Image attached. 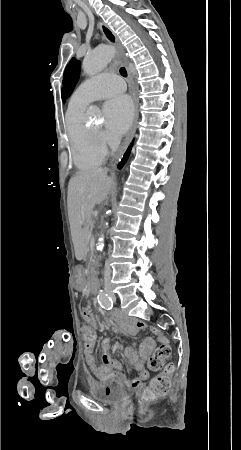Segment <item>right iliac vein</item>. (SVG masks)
Returning a JSON list of instances; mask_svg holds the SVG:
<instances>
[{
  "instance_id": "obj_1",
  "label": "right iliac vein",
  "mask_w": 241,
  "mask_h": 450,
  "mask_svg": "<svg viewBox=\"0 0 241 450\" xmlns=\"http://www.w3.org/2000/svg\"><path fill=\"white\" fill-rule=\"evenodd\" d=\"M112 293V291H109V294H111Z\"/></svg>"
}]
</instances>
